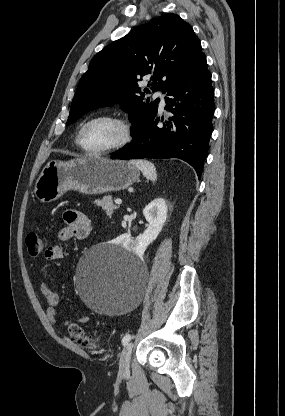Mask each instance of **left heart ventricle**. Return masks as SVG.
Listing matches in <instances>:
<instances>
[{
  "label": "left heart ventricle",
  "mask_w": 285,
  "mask_h": 416,
  "mask_svg": "<svg viewBox=\"0 0 285 416\" xmlns=\"http://www.w3.org/2000/svg\"><path fill=\"white\" fill-rule=\"evenodd\" d=\"M120 139V130L116 124L107 120L90 123L82 134L84 146L90 150H104L114 146Z\"/></svg>",
  "instance_id": "b2bd125f"
}]
</instances>
